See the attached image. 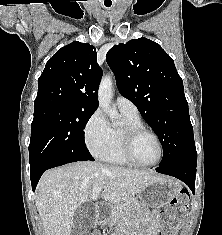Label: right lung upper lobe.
Masks as SVG:
<instances>
[{
  "instance_id": "1",
  "label": "right lung upper lobe",
  "mask_w": 222,
  "mask_h": 235,
  "mask_svg": "<svg viewBox=\"0 0 222 235\" xmlns=\"http://www.w3.org/2000/svg\"><path fill=\"white\" fill-rule=\"evenodd\" d=\"M94 46L72 42L60 48L46 63L38 79L34 112L55 105L95 111L102 70Z\"/></svg>"
}]
</instances>
